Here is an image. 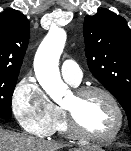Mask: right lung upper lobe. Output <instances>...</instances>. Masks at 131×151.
I'll list each match as a JSON object with an SVG mask.
<instances>
[{"instance_id":"right-lung-upper-lobe-1","label":"right lung upper lobe","mask_w":131,"mask_h":151,"mask_svg":"<svg viewBox=\"0 0 131 151\" xmlns=\"http://www.w3.org/2000/svg\"><path fill=\"white\" fill-rule=\"evenodd\" d=\"M29 35V21L20 11L0 14V72L20 71Z\"/></svg>"}]
</instances>
